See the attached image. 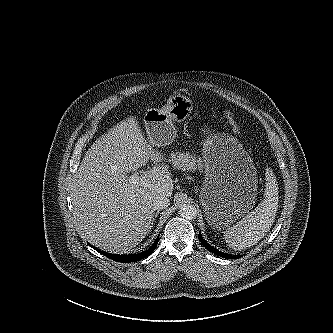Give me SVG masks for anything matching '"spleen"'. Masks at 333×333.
Here are the masks:
<instances>
[{
	"label": "spleen",
	"mask_w": 333,
	"mask_h": 333,
	"mask_svg": "<svg viewBox=\"0 0 333 333\" xmlns=\"http://www.w3.org/2000/svg\"><path fill=\"white\" fill-rule=\"evenodd\" d=\"M264 199L254 211L248 213L224 231V239L234 250H243L258 243L270 230L276 216L279 191L276 176L271 168L265 173Z\"/></svg>",
	"instance_id": "3e777b00"
}]
</instances>
